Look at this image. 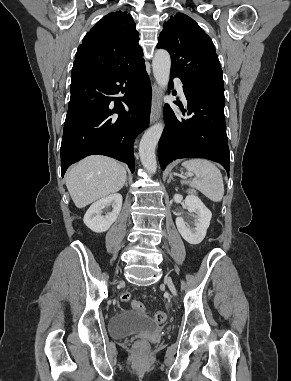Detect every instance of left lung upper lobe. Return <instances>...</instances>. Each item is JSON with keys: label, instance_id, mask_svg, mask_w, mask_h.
Listing matches in <instances>:
<instances>
[{"label": "left lung upper lobe", "instance_id": "1", "mask_svg": "<svg viewBox=\"0 0 291 381\" xmlns=\"http://www.w3.org/2000/svg\"><path fill=\"white\" fill-rule=\"evenodd\" d=\"M158 48L171 55L170 74L199 91L224 93L222 69L211 38L185 14L177 13L163 25Z\"/></svg>", "mask_w": 291, "mask_h": 381}]
</instances>
